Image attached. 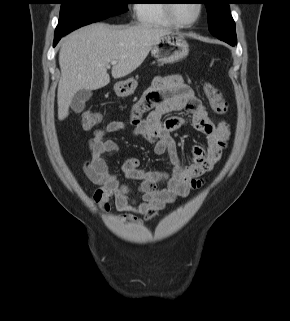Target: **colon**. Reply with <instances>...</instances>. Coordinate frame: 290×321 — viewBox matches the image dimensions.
Wrapping results in <instances>:
<instances>
[{"label": "colon", "mask_w": 290, "mask_h": 321, "mask_svg": "<svg viewBox=\"0 0 290 321\" xmlns=\"http://www.w3.org/2000/svg\"><path fill=\"white\" fill-rule=\"evenodd\" d=\"M204 93L209 100L212 109L218 114H224L227 111V105L222 99L219 90L211 83L206 82L203 85ZM102 120L100 113L95 111H87L82 115V127L89 130L98 125Z\"/></svg>", "instance_id": "5ec220e1"}]
</instances>
